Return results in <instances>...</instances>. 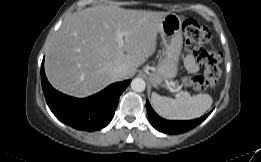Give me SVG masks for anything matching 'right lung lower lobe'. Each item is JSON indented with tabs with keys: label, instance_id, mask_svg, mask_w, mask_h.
<instances>
[{
	"label": "right lung lower lobe",
	"instance_id": "98d812e1",
	"mask_svg": "<svg viewBox=\"0 0 261 162\" xmlns=\"http://www.w3.org/2000/svg\"><path fill=\"white\" fill-rule=\"evenodd\" d=\"M131 80L111 84L101 92L78 99L55 90L48 82L41 65V83L46 102L53 114L63 123L85 131L100 130L112 120L118 100Z\"/></svg>",
	"mask_w": 261,
	"mask_h": 162
}]
</instances>
